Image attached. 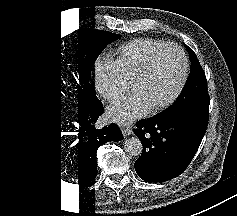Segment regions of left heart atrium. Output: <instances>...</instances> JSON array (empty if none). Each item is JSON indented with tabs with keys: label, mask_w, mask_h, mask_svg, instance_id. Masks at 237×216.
<instances>
[{
	"label": "left heart atrium",
	"mask_w": 237,
	"mask_h": 216,
	"mask_svg": "<svg viewBox=\"0 0 237 216\" xmlns=\"http://www.w3.org/2000/svg\"><path fill=\"white\" fill-rule=\"evenodd\" d=\"M152 110V103L146 97L126 96L119 98L112 107V116L120 123H138Z\"/></svg>",
	"instance_id": "39dd6f15"
}]
</instances>
